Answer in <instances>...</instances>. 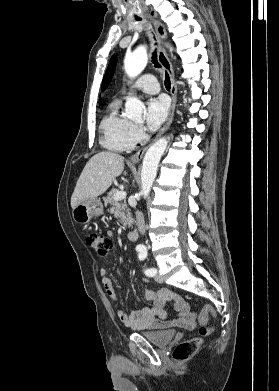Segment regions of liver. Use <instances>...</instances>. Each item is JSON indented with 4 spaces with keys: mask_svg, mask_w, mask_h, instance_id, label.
I'll use <instances>...</instances> for the list:
<instances>
[{
    "mask_svg": "<svg viewBox=\"0 0 279 391\" xmlns=\"http://www.w3.org/2000/svg\"><path fill=\"white\" fill-rule=\"evenodd\" d=\"M123 170L124 158L121 155L109 151L95 154L87 162L77 181L71 197L72 209L103 194Z\"/></svg>",
    "mask_w": 279,
    "mask_h": 391,
    "instance_id": "liver-1",
    "label": "liver"
}]
</instances>
